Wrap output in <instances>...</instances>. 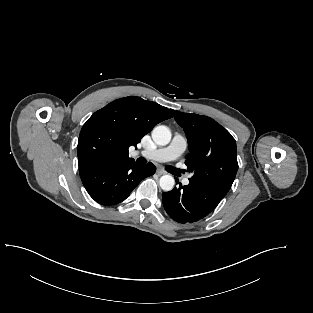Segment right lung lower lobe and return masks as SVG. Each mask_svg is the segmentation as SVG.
I'll return each instance as SVG.
<instances>
[{
    "label": "right lung lower lobe",
    "mask_w": 313,
    "mask_h": 313,
    "mask_svg": "<svg viewBox=\"0 0 313 313\" xmlns=\"http://www.w3.org/2000/svg\"><path fill=\"white\" fill-rule=\"evenodd\" d=\"M152 163L139 165L135 161L97 165L79 171L89 195L102 205H115L125 200L140 181L155 173Z\"/></svg>",
    "instance_id": "right-lung-lower-lobe-1"
}]
</instances>
